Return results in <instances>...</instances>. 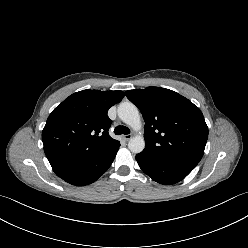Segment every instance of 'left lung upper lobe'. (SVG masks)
<instances>
[{"label":"left lung upper lobe","mask_w":248,"mask_h":248,"mask_svg":"<svg viewBox=\"0 0 248 248\" xmlns=\"http://www.w3.org/2000/svg\"><path fill=\"white\" fill-rule=\"evenodd\" d=\"M125 95L140 109L145 121V148L140 154L194 169L208 138L200 109L180 94L160 87L129 90Z\"/></svg>","instance_id":"5c2ea615"}]
</instances>
